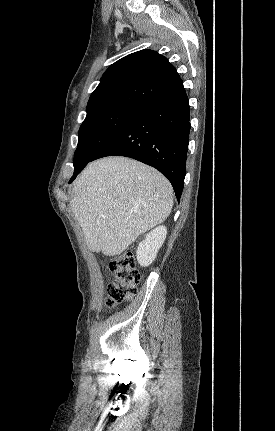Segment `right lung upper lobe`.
<instances>
[{"mask_svg": "<svg viewBox=\"0 0 275 431\" xmlns=\"http://www.w3.org/2000/svg\"><path fill=\"white\" fill-rule=\"evenodd\" d=\"M181 83L175 68L159 53L141 50L129 54L103 74L88 101L87 116L117 108L137 110Z\"/></svg>", "mask_w": 275, "mask_h": 431, "instance_id": "obj_1", "label": "right lung upper lobe"}]
</instances>
